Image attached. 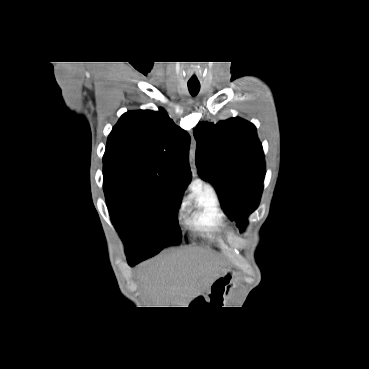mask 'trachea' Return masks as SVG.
Masks as SVG:
<instances>
[{
    "label": "trachea",
    "instance_id": "1",
    "mask_svg": "<svg viewBox=\"0 0 369 369\" xmlns=\"http://www.w3.org/2000/svg\"><path fill=\"white\" fill-rule=\"evenodd\" d=\"M188 89L192 96H196L200 90V83H188Z\"/></svg>",
    "mask_w": 369,
    "mask_h": 369
}]
</instances>
